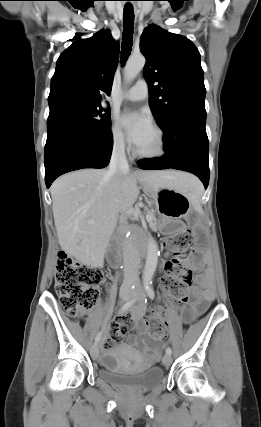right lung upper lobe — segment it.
Here are the masks:
<instances>
[{
	"label": "right lung upper lobe",
	"mask_w": 261,
	"mask_h": 427,
	"mask_svg": "<svg viewBox=\"0 0 261 427\" xmlns=\"http://www.w3.org/2000/svg\"><path fill=\"white\" fill-rule=\"evenodd\" d=\"M119 47L108 31L74 42L58 58L51 79L49 107L67 104L100 105L110 95Z\"/></svg>",
	"instance_id": "1"
}]
</instances>
